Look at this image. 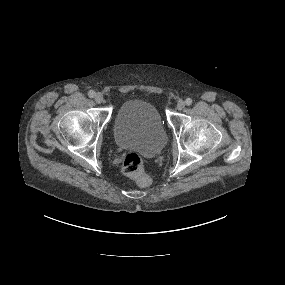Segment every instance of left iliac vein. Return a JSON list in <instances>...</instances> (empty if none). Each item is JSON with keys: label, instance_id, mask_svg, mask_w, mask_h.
I'll return each instance as SVG.
<instances>
[{"label": "left iliac vein", "instance_id": "1", "mask_svg": "<svg viewBox=\"0 0 285 285\" xmlns=\"http://www.w3.org/2000/svg\"><path fill=\"white\" fill-rule=\"evenodd\" d=\"M184 107H185V102L183 100H179L177 105H176V108L178 110H182V109H184Z\"/></svg>", "mask_w": 285, "mask_h": 285}]
</instances>
